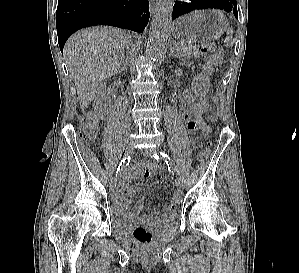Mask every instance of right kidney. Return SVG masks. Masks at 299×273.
Segmentation results:
<instances>
[{
  "mask_svg": "<svg viewBox=\"0 0 299 273\" xmlns=\"http://www.w3.org/2000/svg\"><path fill=\"white\" fill-rule=\"evenodd\" d=\"M111 104L110 98L106 95L105 84L103 83L97 88V93L94 99V107L102 114Z\"/></svg>",
  "mask_w": 299,
  "mask_h": 273,
  "instance_id": "right-kidney-1",
  "label": "right kidney"
}]
</instances>
